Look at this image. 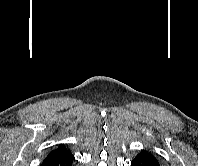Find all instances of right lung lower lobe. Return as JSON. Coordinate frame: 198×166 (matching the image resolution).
Returning <instances> with one entry per match:
<instances>
[{
    "label": "right lung lower lobe",
    "mask_w": 198,
    "mask_h": 166,
    "mask_svg": "<svg viewBox=\"0 0 198 166\" xmlns=\"http://www.w3.org/2000/svg\"><path fill=\"white\" fill-rule=\"evenodd\" d=\"M74 156L72 154H67L64 156L45 159L42 166H72Z\"/></svg>",
    "instance_id": "98d812e1"
}]
</instances>
